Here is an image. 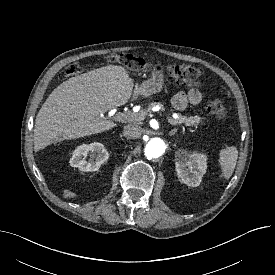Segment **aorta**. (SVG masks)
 Wrapping results in <instances>:
<instances>
[{
    "label": "aorta",
    "mask_w": 275,
    "mask_h": 275,
    "mask_svg": "<svg viewBox=\"0 0 275 275\" xmlns=\"http://www.w3.org/2000/svg\"><path fill=\"white\" fill-rule=\"evenodd\" d=\"M166 150V143L163 139L154 137L149 139L144 147V153L147 159L159 158Z\"/></svg>",
    "instance_id": "obj_1"
}]
</instances>
